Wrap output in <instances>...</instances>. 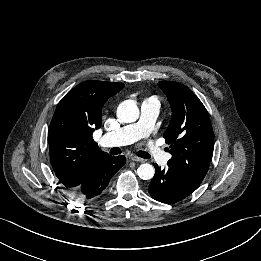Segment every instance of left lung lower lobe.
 I'll return each mask as SVG.
<instances>
[{
  "mask_svg": "<svg viewBox=\"0 0 261 261\" xmlns=\"http://www.w3.org/2000/svg\"><path fill=\"white\" fill-rule=\"evenodd\" d=\"M154 166L155 175L148 191L155 200L172 204L185 199L195 190L187 186L172 168L161 170L157 164Z\"/></svg>",
  "mask_w": 261,
  "mask_h": 261,
  "instance_id": "0a47b994",
  "label": "left lung lower lobe"
}]
</instances>
